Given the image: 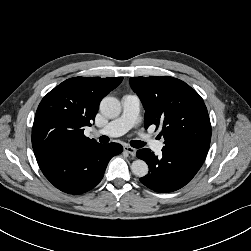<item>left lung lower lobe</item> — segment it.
Returning a JSON list of instances; mask_svg holds the SVG:
<instances>
[{
  "label": "left lung lower lobe",
  "instance_id": "left-lung-lower-lobe-1",
  "mask_svg": "<svg viewBox=\"0 0 251 251\" xmlns=\"http://www.w3.org/2000/svg\"><path fill=\"white\" fill-rule=\"evenodd\" d=\"M136 155L149 166V173L140 181L156 192H172L185 186L196 175L206 157L193 150L175 147H163L161 157L147 148L138 150Z\"/></svg>",
  "mask_w": 251,
  "mask_h": 251
}]
</instances>
